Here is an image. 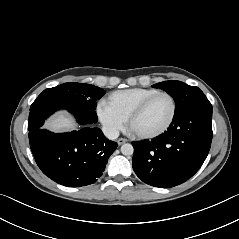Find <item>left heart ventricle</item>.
<instances>
[{
  "label": "left heart ventricle",
  "instance_id": "left-heart-ventricle-1",
  "mask_svg": "<svg viewBox=\"0 0 239 239\" xmlns=\"http://www.w3.org/2000/svg\"><path fill=\"white\" fill-rule=\"evenodd\" d=\"M172 113V104L167 96L160 95L154 98L137 116L132 124L134 133H150L162 128L169 120Z\"/></svg>",
  "mask_w": 239,
  "mask_h": 239
}]
</instances>
